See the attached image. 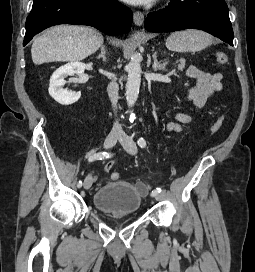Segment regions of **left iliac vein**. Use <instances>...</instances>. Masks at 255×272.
I'll return each mask as SVG.
<instances>
[{
	"mask_svg": "<svg viewBox=\"0 0 255 272\" xmlns=\"http://www.w3.org/2000/svg\"><path fill=\"white\" fill-rule=\"evenodd\" d=\"M121 145L123 148L129 153V154H136L137 153V146L136 143L133 141V139L127 135L120 136L119 139ZM156 200H162L165 197V193L163 191L157 193L155 196Z\"/></svg>",
	"mask_w": 255,
	"mask_h": 272,
	"instance_id": "4c4485c4",
	"label": "left iliac vein"
}]
</instances>
